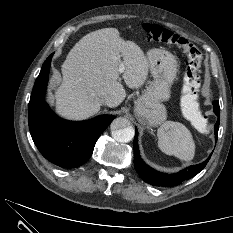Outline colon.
Instances as JSON below:
<instances>
[{"label": "colon", "instance_id": "colon-1", "mask_svg": "<svg viewBox=\"0 0 233 233\" xmlns=\"http://www.w3.org/2000/svg\"><path fill=\"white\" fill-rule=\"evenodd\" d=\"M142 29L156 41L178 46L186 54L188 61L184 75L182 107L185 115L198 124L202 130L207 129V121L198 104L200 88L201 51L189 40L157 24L144 23Z\"/></svg>", "mask_w": 233, "mask_h": 233}]
</instances>
